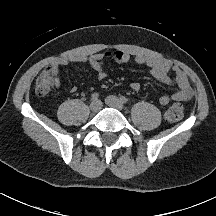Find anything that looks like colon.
I'll return each instance as SVG.
<instances>
[{"mask_svg":"<svg viewBox=\"0 0 216 216\" xmlns=\"http://www.w3.org/2000/svg\"><path fill=\"white\" fill-rule=\"evenodd\" d=\"M54 75L50 71H43L37 78L34 86L35 93L38 96H45L53 89ZM184 107L181 102H173L166 111V118L170 122L179 121L183 117Z\"/></svg>","mask_w":216,"mask_h":216,"instance_id":"obj_1","label":"colon"}]
</instances>
